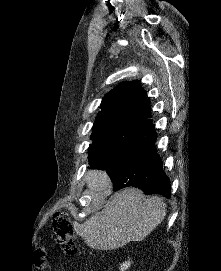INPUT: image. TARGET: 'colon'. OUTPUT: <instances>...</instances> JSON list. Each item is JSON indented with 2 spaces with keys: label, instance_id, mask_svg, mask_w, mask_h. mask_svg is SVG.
<instances>
[{
  "label": "colon",
  "instance_id": "5ec220e1",
  "mask_svg": "<svg viewBox=\"0 0 221 271\" xmlns=\"http://www.w3.org/2000/svg\"><path fill=\"white\" fill-rule=\"evenodd\" d=\"M52 237L55 242L61 245L63 250L70 254L78 251L76 232L72 224L70 214L65 210L55 211L52 215ZM46 250L42 249L35 253L34 262L38 266H43L46 258Z\"/></svg>",
  "mask_w": 221,
  "mask_h": 271
}]
</instances>
